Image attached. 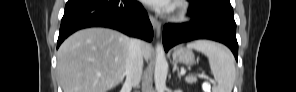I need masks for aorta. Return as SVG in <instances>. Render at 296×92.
<instances>
[{"mask_svg":"<svg viewBox=\"0 0 296 92\" xmlns=\"http://www.w3.org/2000/svg\"><path fill=\"white\" fill-rule=\"evenodd\" d=\"M168 73V64L165 58V52L161 44L156 46V61L154 70V81L157 92H164L166 89V78Z\"/></svg>","mask_w":296,"mask_h":92,"instance_id":"aorta-1","label":"aorta"}]
</instances>
